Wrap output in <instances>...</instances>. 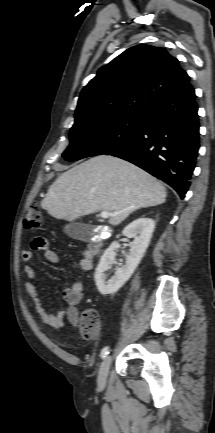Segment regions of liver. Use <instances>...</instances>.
<instances>
[{
    "mask_svg": "<svg viewBox=\"0 0 215 433\" xmlns=\"http://www.w3.org/2000/svg\"><path fill=\"white\" fill-rule=\"evenodd\" d=\"M166 188L156 178L123 159L93 157L62 173L50 186L41 206L61 220L72 221L108 211L118 225L132 212L162 204Z\"/></svg>",
    "mask_w": 215,
    "mask_h": 433,
    "instance_id": "liver-1",
    "label": "liver"
}]
</instances>
